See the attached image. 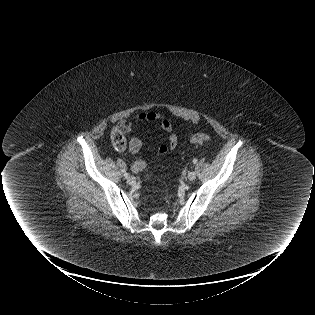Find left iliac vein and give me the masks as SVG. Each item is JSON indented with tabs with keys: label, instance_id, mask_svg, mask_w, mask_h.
<instances>
[{
	"label": "left iliac vein",
	"instance_id": "4c4485c4",
	"mask_svg": "<svg viewBox=\"0 0 315 315\" xmlns=\"http://www.w3.org/2000/svg\"><path fill=\"white\" fill-rule=\"evenodd\" d=\"M187 178H188V180L193 181L196 178V172L195 171H190L187 174Z\"/></svg>",
	"mask_w": 315,
	"mask_h": 315
}]
</instances>
